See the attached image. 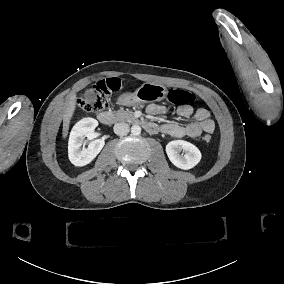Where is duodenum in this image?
Masks as SVG:
<instances>
[{
  "label": "duodenum",
  "mask_w": 284,
  "mask_h": 284,
  "mask_svg": "<svg viewBox=\"0 0 284 284\" xmlns=\"http://www.w3.org/2000/svg\"><path fill=\"white\" fill-rule=\"evenodd\" d=\"M97 120L102 125H112L115 122V116L113 113L108 112V111L100 112L97 114ZM138 124H142L145 127L146 123H142L141 121H138Z\"/></svg>",
  "instance_id": "duodenum-1"
}]
</instances>
